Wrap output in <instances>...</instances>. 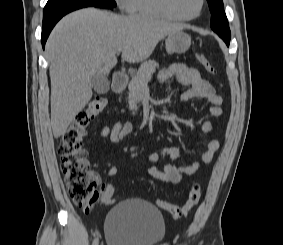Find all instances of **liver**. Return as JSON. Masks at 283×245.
<instances>
[{"label":"liver","instance_id":"obj_1","mask_svg":"<svg viewBox=\"0 0 283 245\" xmlns=\"http://www.w3.org/2000/svg\"><path fill=\"white\" fill-rule=\"evenodd\" d=\"M183 25L138 15L120 16L94 8L70 13L55 26L46 44L51 79V126L58 138L92 97L91 78L107 75L115 54L130 63L146 60L167 35Z\"/></svg>","mask_w":283,"mask_h":245}]
</instances>
